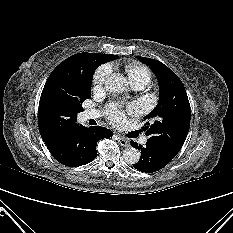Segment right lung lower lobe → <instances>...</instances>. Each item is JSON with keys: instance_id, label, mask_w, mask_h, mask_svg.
Wrapping results in <instances>:
<instances>
[{"instance_id": "obj_1", "label": "right lung lower lobe", "mask_w": 233, "mask_h": 233, "mask_svg": "<svg viewBox=\"0 0 233 233\" xmlns=\"http://www.w3.org/2000/svg\"><path fill=\"white\" fill-rule=\"evenodd\" d=\"M112 135L111 130L101 126L88 128L76 124L64 141L48 149L58 162L77 167L93 161L97 154V142Z\"/></svg>"}]
</instances>
